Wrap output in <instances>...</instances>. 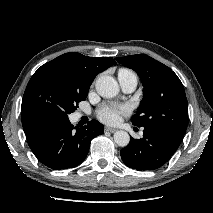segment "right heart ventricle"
<instances>
[{"mask_svg":"<svg viewBox=\"0 0 213 213\" xmlns=\"http://www.w3.org/2000/svg\"><path fill=\"white\" fill-rule=\"evenodd\" d=\"M119 73H132V72H130V71L127 70V69H121V70L119 71Z\"/></svg>","mask_w":213,"mask_h":213,"instance_id":"e07e8e85","label":"right heart ventricle"}]
</instances>
